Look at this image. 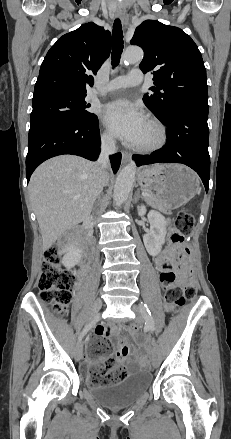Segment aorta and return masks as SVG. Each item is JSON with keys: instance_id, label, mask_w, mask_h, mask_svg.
Instances as JSON below:
<instances>
[{"instance_id": "1", "label": "aorta", "mask_w": 231, "mask_h": 439, "mask_svg": "<svg viewBox=\"0 0 231 439\" xmlns=\"http://www.w3.org/2000/svg\"><path fill=\"white\" fill-rule=\"evenodd\" d=\"M143 51L139 47H129L126 49L122 56V62L132 64L142 60ZM136 164L134 161H130L119 172L115 185H114V202L120 206L123 204L131 191L132 185L135 180Z\"/></svg>"}]
</instances>
